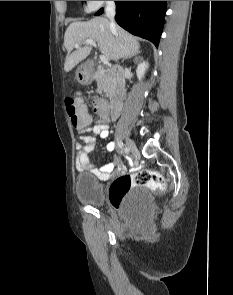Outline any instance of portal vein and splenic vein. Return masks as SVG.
<instances>
[{
    "label": "portal vein and splenic vein",
    "mask_w": 233,
    "mask_h": 295,
    "mask_svg": "<svg viewBox=\"0 0 233 295\" xmlns=\"http://www.w3.org/2000/svg\"><path fill=\"white\" fill-rule=\"evenodd\" d=\"M82 43L83 44H87V45H91V46H94V47H97L95 41L92 40V39H86ZM79 47H80V44L79 43L75 44V48L76 49H78ZM99 58H100V60H101L102 63L109 64L108 58L105 55H100Z\"/></svg>",
    "instance_id": "18ae733b"
}]
</instances>
